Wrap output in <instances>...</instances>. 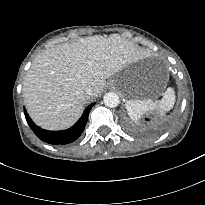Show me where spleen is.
I'll return each mask as SVG.
<instances>
[{"instance_id":"obj_1","label":"spleen","mask_w":205,"mask_h":205,"mask_svg":"<svg viewBox=\"0 0 205 205\" xmlns=\"http://www.w3.org/2000/svg\"><path fill=\"white\" fill-rule=\"evenodd\" d=\"M174 103L175 92L173 88L169 87L161 100H129L126 102L125 106L129 117L132 120L137 121L146 112L154 110L169 111L173 107Z\"/></svg>"}]
</instances>
